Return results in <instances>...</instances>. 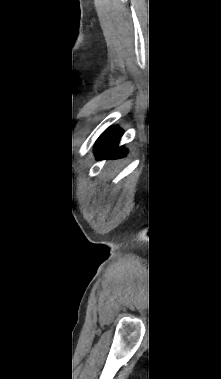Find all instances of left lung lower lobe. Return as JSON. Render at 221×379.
Returning <instances> with one entry per match:
<instances>
[{
    "mask_svg": "<svg viewBox=\"0 0 221 379\" xmlns=\"http://www.w3.org/2000/svg\"><path fill=\"white\" fill-rule=\"evenodd\" d=\"M122 136L121 130L118 127H111L107 129L98 139L95 151L97 157H106L109 155L117 156L124 154L125 150L117 148L120 137Z\"/></svg>",
    "mask_w": 221,
    "mask_h": 379,
    "instance_id": "left-lung-lower-lobe-1",
    "label": "left lung lower lobe"
}]
</instances>
